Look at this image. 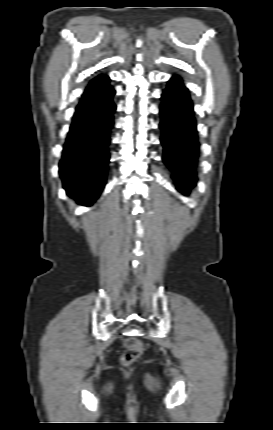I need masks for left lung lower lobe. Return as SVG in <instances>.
Wrapping results in <instances>:
<instances>
[{
	"label": "left lung lower lobe",
	"mask_w": 273,
	"mask_h": 430,
	"mask_svg": "<svg viewBox=\"0 0 273 430\" xmlns=\"http://www.w3.org/2000/svg\"><path fill=\"white\" fill-rule=\"evenodd\" d=\"M160 114L163 160L172 172L177 189L187 195L196 184L199 141L192 100L179 76L169 80L162 94Z\"/></svg>",
	"instance_id": "obj_1"
}]
</instances>
